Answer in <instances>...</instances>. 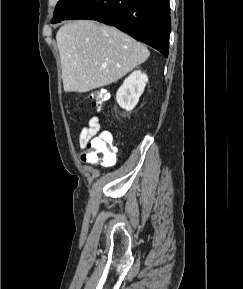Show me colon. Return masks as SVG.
Segmentation results:
<instances>
[{
    "mask_svg": "<svg viewBox=\"0 0 243 289\" xmlns=\"http://www.w3.org/2000/svg\"><path fill=\"white\" fill-rule=\"evenodd\" d=\"M88 97L93 100L94 109L100 112L108 100V93L104 90H94ZM86 149V152L82 155L83 162H99L110 165L115 161V146L113 145L112 135L109 131H104L90 141Z\"/></svg>",
    "mask_w": 243,
    "mask_h": 289,
    "instance_id": "1",
    "label": "colon"
}]
</instances>
